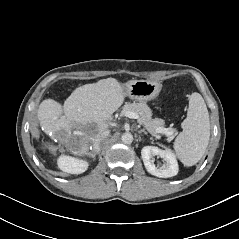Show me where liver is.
<instances>
[{"instance_id": "obj_1", "label": "liver", "mask_w": 239, "mask_h": 239, "mask_svg": "<svg viewBox=\"0 0 239 239\" xmlns=\"http://www.w3.org/2000/svg\"><path fill=\"white\" fill-rule=\"evenodd\" d=\"M124 87L115 78L99 80L76 88L65 100L64 105L53 99L43 100L37 117L42 130L52 139L64 140L71 135L84 136L86 144L77 152L85 154L88 146H95L98 136L108 129V120L123 104ZM93 125L90 135L84 132L87 125Z\"/></svg>"}]
</instances>
